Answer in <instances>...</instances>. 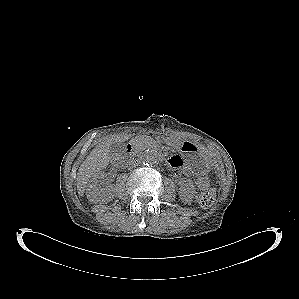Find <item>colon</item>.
I'll return each mask as SVG.
<instances>
[{
	"label": "colon",
	"instance_id": "obj_1",
	"mask_svg": "<svg viewBox=\"0 0 299 299\" xmlns=\"http://www.w3.org/2000/svg\"><path fill=\"white\" fill-rule=\"evenodd\" d=\"M198 187L202 190L196 196V202L202 208L210 207L215 199L214 192L210 189V181L206 175H200L196 181Z\"/></svg>",
	"mask_w": 299,
	"mask_h": 299
}]
</instances>
